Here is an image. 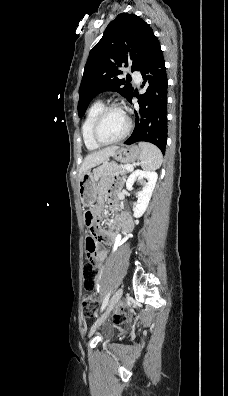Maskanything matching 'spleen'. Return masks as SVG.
Wrapping results in <instances>:
<instances>
[{
	"instance_id": "obj_1",
	"label": "spleen",
	"mask_w": 228,
	"mask_h": 396,
	"mask_svg": "<svg viewBox=\"0 0 228 396\" xmlns=\"http://www.w3.org/2000/svg\"><path fill=\"white\" fill-rule=\"evenodd\" d=\"M141 149L140 161L144 170H157L163 161V156L159 148L148 142H139Z\"/></svg>"
}]
</instances>
